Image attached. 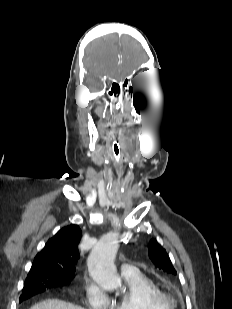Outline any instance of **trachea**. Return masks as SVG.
Returning a JSON list of instances; mask_svg holds the SVG:
<instances>
[{"instance_id":"1","label":"trachea","mask_w":232,"mask_h":309,"mask_svg":"<svg viewBox=\"0 0 232 309\" xmlns=\"http://www.w3.org/2000/svg\"><path fill=\"white\" fill-rule=\"evenodd\" d=\"M111 149L114 155V159L116 162V167L119 169L121 165V147L116 139H112L111 141Z\"/></svg>"}]
</instances>
